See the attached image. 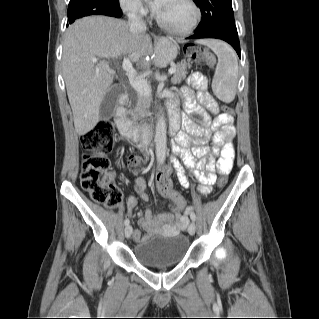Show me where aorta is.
<instances>
[{
  "mask_svg": "<svg viewBox=\"0 0 319 319\" xmlns=\"http://www.w3.org/2000/svg\"><path fill=\"white\" fill-rule=\"evenodd\" d=\"M166 121L163 114L158 117L156 123L155 146L156 158L159 164H163L166 157Z\"/></svg>",
  "mask_w": 319,
  "mask_h": 319,
  "instance_id": "aorta-1",
  "label": "aorta"
}]
</instances>
